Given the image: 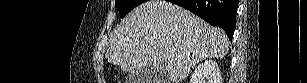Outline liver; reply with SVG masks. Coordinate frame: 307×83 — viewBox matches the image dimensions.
<instances>
[{"label":"liver","instance_id":"6515ba94","mask_svg":"<svg viewBox=\"0 0 307 83\" xmlns=\"http://www.w3.org/2000/svg\"><path fill=\"white\" fill-rule=\"evenodd\" d=\"M229 48L225 32L184 8L150 0L130 12L113 30L106 52L124 72L163 70L164 83H181L205 58H222Z\"/></svg>","mask_w":307,"mask_h":83}]
</instances>
